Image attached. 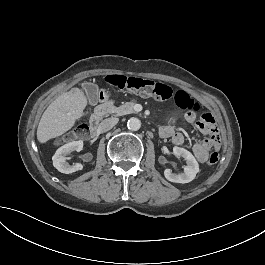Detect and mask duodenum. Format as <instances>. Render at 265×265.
I'll use <instances>...</instances> for the list:
<instances>
[{
    "label": "duodenum",
    "instance_id": "410a0bca",
    "mask_svg": "<svg viewBox=\"0 0 265 265\" xmlns=\"http://www.w3.org/2000/svg\"><path fill=\"white\" fill-rule=\"evenodd\" d=\"M101 94H104V91H101ZM112 104L113 101L110 97L101 95V102L96 106L90 117L89 126L91 128V131H96L97 129H99V121L102 117L115 111Z\"/></svg>",
    "mask_w": 265,
    "mask_h": 265
}]
</instances>
